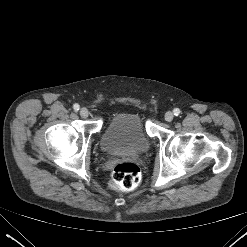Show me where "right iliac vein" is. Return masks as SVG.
Masks as SVG:
<instances>
[{"label":"right iliac vein","instance_id":"63e3f726","mask_svg":"<svg viewBox=\"0 0 247 247\" xmlns=\"http://www.w3.org/2000/svg\"><path fill=\"white\" fill-rule=\"evenodd\" d=\"M79 113L82 118H87L89 116V111L87 108H81Z\"/></svg>","mask_w":247,"mask_h":247}]
</instances>
